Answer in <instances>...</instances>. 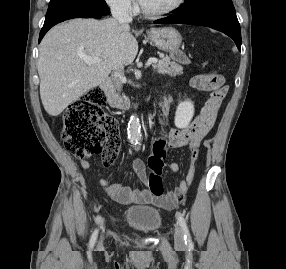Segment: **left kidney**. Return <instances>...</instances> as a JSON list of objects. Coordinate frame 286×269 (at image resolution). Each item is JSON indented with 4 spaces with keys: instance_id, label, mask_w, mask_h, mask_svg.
<instances>
[{
    "instance_id": "5707ae66",
    "label": "left kidney",
    "mask_w": 286,
    "mask_h": 269,
    "mask_svg": "<svg viewBox=\"0 0 286 269\" xmlns=\"http://www.w3.org/2000/svg\"><path fill=\"white\" fill-rule=\"evenodd\" d=\"M194 115V105L190 100L179 103L175 113V126L178 128H186Z\"/></svg>"
}]
</instances>
